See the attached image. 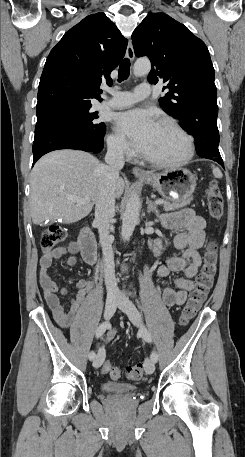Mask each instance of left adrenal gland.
Listing matches in <instances>:
<instances>
[{"label": "left adrenal gland", "instance_id": "a2214340", "mask_svg": "<svg viewBox=\"0 0 245 457\" xmlns=\"http://www.w3.org/2000/svg\"><path fill=\"white\" fill-rule=\"evenodd\" d=\"M146 204H147V212H155L156 218H159L160 210H159V208H157L156 204H154V202H152V200H150V198H147Z\"/></svg>", "mask_w": 245, "mask_h": 457}]
</instances>
